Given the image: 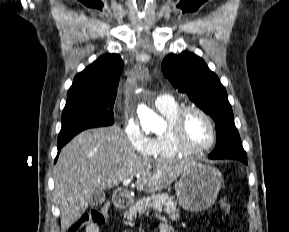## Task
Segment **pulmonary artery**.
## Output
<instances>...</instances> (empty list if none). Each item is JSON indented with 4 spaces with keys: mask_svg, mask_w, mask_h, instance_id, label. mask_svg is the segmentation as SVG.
<instances>
[{
    "mask_svg": "<svg viewBox=\"0 0 289 232\" xmlns=\"http://www.w3.org/2000/svg\"><path fill=\"white\" fill-rule=\"evenodd\" d=\"M173 101V98L170 95L162 94L156 97L155 106L157 109L168 106Z\"/></svg>",
    "mask_w": 289,
    "mask_h": 232,
    "instance_id": "pulmonary-artery-1",
    "label": "pulmonary artery"
}]
</instances>
